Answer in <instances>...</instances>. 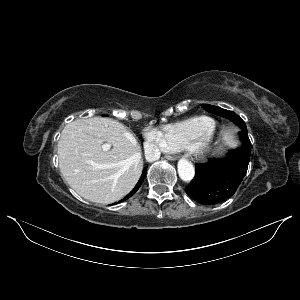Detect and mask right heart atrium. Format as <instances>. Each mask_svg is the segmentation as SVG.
Instances as JSON below:
<instances>
[{"label":"right heart atrium","instance_id":"1","mask_svg":"<svg viewBox=\"0 0 300 300\" xmlns=\"http://www.w3.org/2000/svg\"><path fill=\"white\" fill-rule=\"evenodd\" d=\"M145 139L155 151L169 152L170 148L163 132L157 128H148L144 133Z\"/></svg>","mask_w":300,"mask_h":300}]
</instances>
